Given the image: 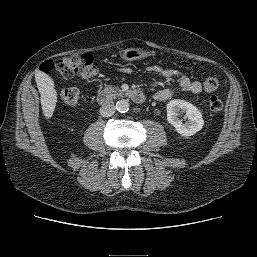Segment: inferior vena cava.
Wrapping results in <instances>:
<instances>
[{
    "mask_svg": "<svg viewBox=\"0 0 257 257\" xmlns=\"http://www.w3.org/2000/svg\"><path fill=\"white\" fill-rule=\"evenodd\" d=\"M115 105L113 102H107L106 104L102 105L100 108V114L103 117H110L115 113Z\"/></svg>",
    "mask_w": 257,
    "mask_h": 257,
    "instance_id": "obj_1",
    "label": "inferior vena cava"
}]
</instances>
